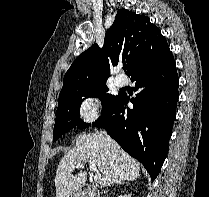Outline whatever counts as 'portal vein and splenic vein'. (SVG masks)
<instances>
[{
	"label": "portal vein and splenic vein",
	"instance_id": "18ae733b",
	"mask_svg": "<svg viewBox=\"0 0 209 197\" xmlns=\"http://www.w3.org/2000/svg\"><path fill=\"white\" fill-rule=\"evenodd\" d=\"M88 163H89L90 170L92 172H94V180L95 181H100L101 180V174L97 171L96 165L91 161H88ZM83 166H84V162H81L76 166V168H80V167H83Z\"/></svg>",
	"mask_w": 209,
	"mask_h": 197
}]
</instances>
